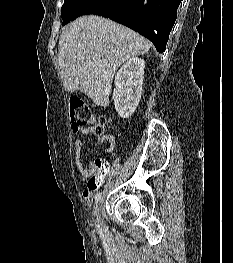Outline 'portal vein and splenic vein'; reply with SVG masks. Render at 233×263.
<instances>
[{
    "label": "portal vein and splenic vein",
    "mask_w": 233,
    "mask_h": 263,
    "mask_svg": "<svg viewBox=\"0 0 233 263\" xmlns=\"http://www.w3.org/2000/svg\"><path fill=\"white\" fill-rule=\"evenodd\" d=\"M89 65H90V66H93V65H94V62H90Z\"/></svg>",
    "instance_id": "1"
}]
</instances>
